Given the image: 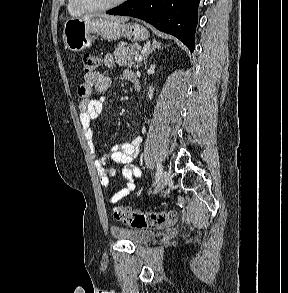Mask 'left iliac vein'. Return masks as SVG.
<instances>
[{
  "label": "left iliac vein",
  "mask_w": 288,
  "mask_h": 293,
  "mask_svg": "<svg viewBox=\"0 0 288 293\" xmlns=\"http://www.w3.org/2000/svg\"><path fill=\"white\" fill-rule=\"evenodd\" d=\"M171 181L170 174L167 171H163L160 178L159 182L154 190V193H157L161 191L164 187H166Z\"/></svg>",
  "instance_id": "4c4485c4"
}]
</instances>
